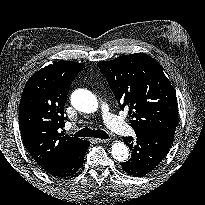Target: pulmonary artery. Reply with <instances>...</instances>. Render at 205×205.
Wrapping results in <instances>:
<instances>
[{"label": "pulmonary artery", "mask_w": 205, "mask_h": 205, "mask_svg": "<svg viewBox=\"0 0 205 205\" xmlns=\"http://www.w3.org/2000/svg\"><path fill=\"white\" fill-rule=\"evenodd\" d=\"M101 111L105 123L112 131L118 134H127L130 131V127L113 115L105 103L101 104Z\"/></svg>", "instance_id": "obj_1"}]
</instances>
